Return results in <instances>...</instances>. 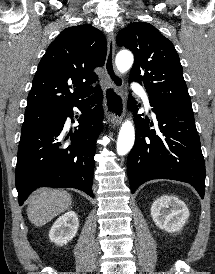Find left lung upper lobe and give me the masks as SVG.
Returning <instances> with one entry per match:
<instances>
[{"label": "left lung upper lobe", "instance_id": "1", "mask_svg": "<svg viewBox=\"0 0 215 274\" xmlns=\"http://www.w3.org/2000/svg\"><path fill=\"white\" fill-rule=\"evenodd\" d=\"M116 41L135 56L129 81H142L150 97L192 110L180 59L170 40L151 24L134 22L118 33Z\"/></svg>", "mask_w": 215, "mask_h": 274}]
</instances>
